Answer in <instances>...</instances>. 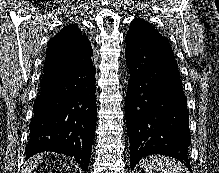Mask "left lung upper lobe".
<instances>
[{"label":"left lung upper lobe","mask_w":219,"mask_h":173,"mask_svg":"<svg viewBox=\"0 0 219 173\" xmlns=\"http://www.w3.org/2000/svg\"><path fill=\"white\" fill-rule=\"evenodd\" d=\"M126 37H131V38L152 37V38L166 39V37L160 35L157 29H155L150 23L141 19H135L132 21Z\"/></svg>","instance_id":"1"}]
</instances>
